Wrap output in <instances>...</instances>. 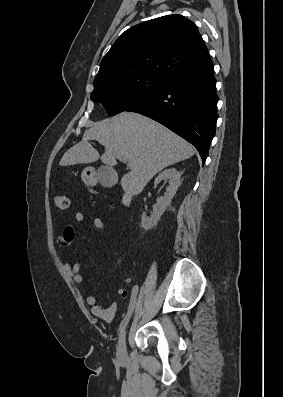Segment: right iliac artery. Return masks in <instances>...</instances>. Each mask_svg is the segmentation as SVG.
<instances>
[{"label": "right iliac artery", "instance_id": "82829eb1", "mask_svg": "<svg viewBox=\"0 0 283 397\" xmlns=\"http://www.w3.org/2000/svg\"><path fill=\"white\" fill-rule=\"evenodd\" d=\"M137 292H138V288L135 286L133 288V290L131 291V298H130V305L128 308V312L126 314V316L124 317V319L121 321L120 326H119V335H121L123 333V331L125 330V327L129 321V318L133 312L134 309V305L137 303Z\"/></svg>", "mask_w": 283, "mask_h": 397}]
</instances>
